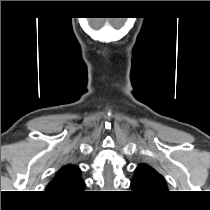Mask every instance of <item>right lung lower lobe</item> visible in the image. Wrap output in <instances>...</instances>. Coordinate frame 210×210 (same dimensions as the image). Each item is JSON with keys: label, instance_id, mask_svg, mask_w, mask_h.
Masks as SVG:
<instances>
[{"label": "right lung lower lobe", "instance_id": "right-lung-lower-lobe-1", "mask_svg": "<svg viewBox=\"0 0 210 210\" xmlns=\"http://www.w3.org/2000/svg\"><path fill=\"white\" fill-rule=\"evenodd\" d=\"M77 195H78V194H77ZM77 195H74V196H63V197H60V198L72 199V198H75Z\"/></svg>", "mask_w": 210, "mask_h": 210}]
</instances>
